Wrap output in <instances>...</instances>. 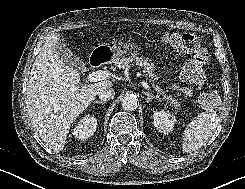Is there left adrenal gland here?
I'll use <instances>...</instances> for the list:
<instances>
[{
    "mask_svg": "<svg viewBox=\"0 0 245 189\" xmlns=\"http://www.w3.org/2000/svg\"><path fill=\"white\" fill-rule=\"evenodd\" d=\"M144 95L147 96V102L149 103L150 101H152V99H161L158 95H153L150 94L149 92H143Z\"/></svg>",
    "mask_w": 245,
    "mask_h": 189,
    "instance_id": "obj_1",
    "label": "left adrenal gland"
}]
</instances>
